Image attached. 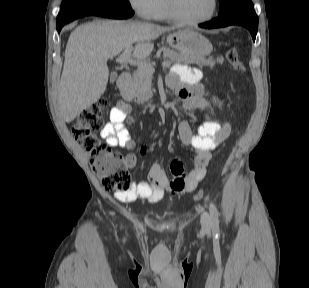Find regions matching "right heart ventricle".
I'll use <instances>...</instances> for the list:
<instances>
[{"instance_id":"e07e8e85","label":"right heart ventricle","mask_w":309,"mask_h":288,"mask_svg":"<svg viewBox=\"0 0 309 288\" xmlns=\"http://www.w3.org/2000/svg\"><path fill=\"white\" fill-rule=\"evenodd\" d=\"M154 18L158 20H170L171 19L167 11L165 0H161Z\"/></svg>"}]
</instances>
